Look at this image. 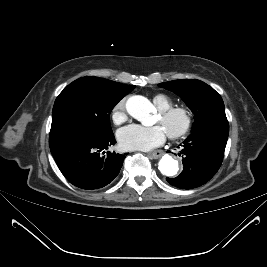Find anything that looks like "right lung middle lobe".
<instances>
[{"label": "right lung middle lobe", "mask_w": 267, "mask_h": 267, "mask_svg": "<svg viewBox=\"0 0 267 267\" xmlns=\"http://www.w3.org/2000/svg\"><path fill=\"white\" fill-rule=\"evenodd\" d=\"M134 88L98 77L73 81L56 98L50 136L68 130L112 134L110 113Z\"/></svg>", "instance_id": "dd1d6c3e"}]
</instances>
